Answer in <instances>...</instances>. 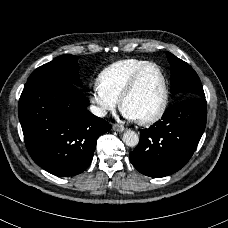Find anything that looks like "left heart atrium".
Segmentation results:
<instances>
[{
	"instance_id": "1",
	"label": "left heart atrium",
	"mask_w": 228,
	"mask_h": 228,
	"mask_svg": "<svg viewBox=\"0 0 228 228\" xmlns=\"http://www.w3.org/2000/svg\"><path fill=\"white\" fill-rule=\"evenodd\" d=\"M126 117H127L128 119H130V120H134V119H135L134 116H132L131 114H129V113H127V112H126Z\"/></svg>"
}]
</instances>
